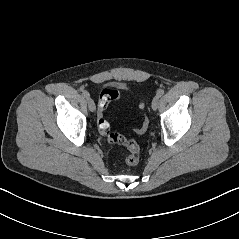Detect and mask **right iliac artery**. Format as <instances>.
Instances as JSON below:
<instances>
[{
	"label": "right iliac artery",
	"instance_id": "1",
	"mask_svg": "<svg viewBox=\"0 0 239 239\" xmlns=\"http://www.w3.org/2000/svg\"><path fill=\"white\" fill-rule=\"evenodd\" d=\"M82 94L85 98H87V99L90 98V94L88 91L84 90Z\"/></svg>",
	"mask_w": 239,
	"mask_h": 239
}]
</instances>
